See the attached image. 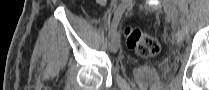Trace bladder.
<instances>
[{
    "instance_id": "obj_1",
    "label": "bladder",
    "mask_w": 209,
    "mask_h": 90,
    "mask_svg": "<svg viewBox=\"0 0 209 90\" xmlns=\"http://www.w3.org/2000/svg\"><path fill=\"white\" fill-rule=\"evenodd\" d=\"M132 76L142 90H150L162 80L160 70L155 66L139 65L132 69Z\"/></svg>"
}]
</instances>
